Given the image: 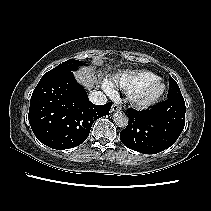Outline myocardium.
I'll list each match as a JSON object with an SVG mask.
<instances>
[{
	"label": "myocardium",
	"mask_w": 211,
	"mask_h": 211,
	"mask_svg": "<svg viewBox=\"0 0 211 211\" xmlns=\"http://www.w3.org/2000/svg\"><path fill=\"white\" fill-rule=\"evenodd\" d=\"M159 85V90L151 95H147V92L154 86ZM166 89V85L164 81L157 77L141 87L135 90L133 93L130 94V101L131 103L137 108H148L154 104H156L161 97L163 96Z\"/></svg>",
	"instance_id": "1"
}]
</instances>
